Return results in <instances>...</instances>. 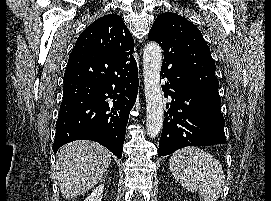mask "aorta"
Returning <instances> with one entry per match:
<instances>
[{"instance_id": "aorta-1", "label": "aorta", "mask_w": 271, "mask_h": 201, "mask_svg": "<svg viewBox=\"0 0 271 201\" xmlns=\"http://www.w3.org/2000/svg\"><path fill=\"white\" fill-rule=\"evenodd\" d=\"M162 65V49L156 42H149L143 50V77L146 99L147 134L155 138L162 129L164 109L160 72Z\"/></svg>"}]
</instances>
